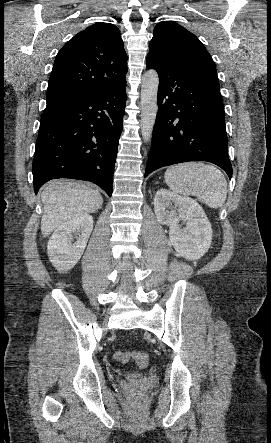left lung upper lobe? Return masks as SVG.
I'll return each instance as SVG.
<instances>
[{
    "label": "left lung upper lobe",
    "mask_w": 271,
    "mask_h": 443,
    "mask_svg": "<svg viewBox=\"0 0 271 443\" xmlns=\"http://www.w3.org/2000/svg\"><path fill=\"white\" fill-rule=\"evenodd\" d=\"M148 55L216 72L215 64L200 40L172 21L155 26Z\"/></svg>",
    "instance_id": "obj_1"
}]
</instances>
